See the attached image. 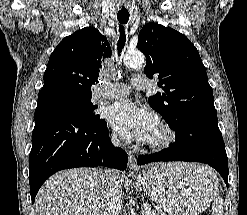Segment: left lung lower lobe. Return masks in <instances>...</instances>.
I'll return each instance as SVG.
<instances>
[{"label": "left lung lower lobe", "mask_w": 247, "mask_h": 215, "mask_svg": "<svg viewBox=\"0 0 247 215\" xmlns=\"http://www.w3.org/2000/svg\"><path fill=\"white\" fill-rule=\"evenodd\" d=\"M169 148L151 155H140L138 165L157 161L201 162L215 168L228 187V158L218 122L198 121L175 131Z\"/></svg>", "instance_id": "0a47b994"}]
</instances>
